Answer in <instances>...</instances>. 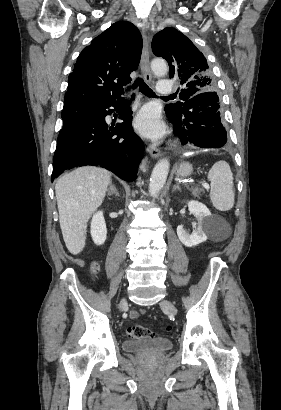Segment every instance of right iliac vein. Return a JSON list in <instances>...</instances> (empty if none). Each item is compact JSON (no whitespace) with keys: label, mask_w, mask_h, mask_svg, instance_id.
<instances>
[{"label":"right iliac vein","mask_w":281,"mask_h":410,"mask_svg":"<svg viewBox=\"0 0 281 410\" xmlns=\"http://www.w3.org/2000/svg\"><path fill=\"white\" fill-rule=\"evenodd\" d=\"M126 305H127L126 300H125V299H122L121 302H120L119 307H120V309H123Z\"/></svg>","instance_id":"1"}]
</instances>
